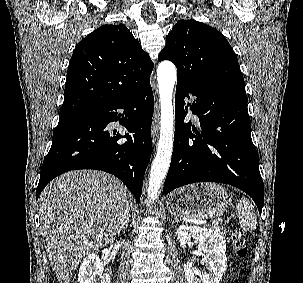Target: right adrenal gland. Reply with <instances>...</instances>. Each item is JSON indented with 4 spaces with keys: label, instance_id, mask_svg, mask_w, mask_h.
<instances>
[{
    "label": "right adrenal gland",
    "instance_id": "obj_1",
    "mask_svg": "<svg viewBox=\"0 0 303 283\" xmlns=\"http://www.w3.org/2000/svg\"><path fill=\"white\" fill-rule=\"evenodd\" d=\"M129 218H130V213H129V205L127 206V209L125 211L124 216L121 219V223L118 229V234L125 229L126 227H128L129 225Z\"/></svg>",
    "mask_w": 303,
    "mask_h": 283
}]
</instances>
